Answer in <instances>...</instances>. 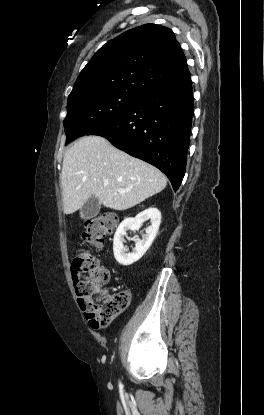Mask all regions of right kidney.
<instances>
[{
  "mask_svg": "<svg viewBox=\"0 0 264 415\" xmlns=\"http://www.w3.org/2000/svg\"><path fill=\"white\" fill-rule=\"evenodd\" d=\"M148 219H150L151 225L146 228V235L143 236L142 240L136 238L133 252L127 253V249L123 246L126 231L138 230L143 222ZM160 223L161 213L157 208L153 207L140 212L135 218L124 219L117 228L113 239V252L116 261L123 266H128L138 261L146 253L154 241L158 233Z\"/></svg>",
  "mask_w": 264,
  "mask_h": 415,
  "instance_id": "right-kidney-1",
  "label": "right kidney"
}]
</instances>
